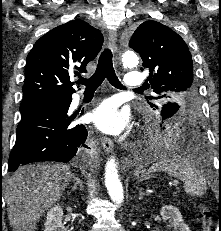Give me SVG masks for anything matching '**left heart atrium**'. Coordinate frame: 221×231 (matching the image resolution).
Wrapping results in <instances>:
<instances>
[{"instance_id":"left-heart-atrium-1","label":"left heart atrium","mask_w":221,"mask_h":231,"mask_svg":"<svg viewBox=\"0 0 221 231\" xmlns=\"http://www.w3.org/2000/svg\"><path fill=\"white\" fill-rule=\"evenodd\" d=\"M92 121L100 130L118 134L127 127L129 115L126 111L119 110L114 101L106 100L92 113Z\"/></svg>"}]
</instances>
